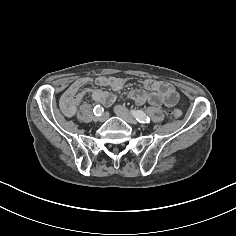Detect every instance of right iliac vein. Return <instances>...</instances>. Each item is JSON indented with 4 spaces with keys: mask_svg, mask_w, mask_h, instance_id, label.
<instances>
[{
    "mask_svg": "<svg viewBox=\"0 0 236 236\" xmlns=\"http://www.w3.org/2000/svg\"><path fill=\"white\" fill-rule=\"evenodd\" d=\"M109 118V113L105 112L103 115L99 118L100 122H105Z\"/></svg>",
    "mask_w": 236,
    "mask_h": 236,
    "instance_id": "right-iliac-vein-1",
    "label": "right iliac vein"
}]
</instances>
